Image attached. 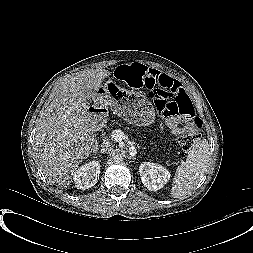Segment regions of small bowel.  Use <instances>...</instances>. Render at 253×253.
<instances>
[{
  "mask_svg": "<svg viewBox=\"0 0 253 253\" xmlns=\"http://www.w3.org/2000/svg\"><path fill=\"white\" fill-rule=\"evenodd\" d=\"M157 86L177 88L181 87V84L165 73L152 68H147L144 87L153 89ZM182 122L183 120L181 118H172L167 121V127L172 133L179 134L183 131V129L180 127Z\"/></svg>",
  "mask_w": 253,
  "mask_h": 253,
  "instance_id": "c3829d8e",
  "label": "small bowel"
}]
</instances>
